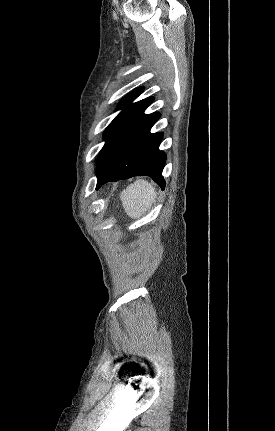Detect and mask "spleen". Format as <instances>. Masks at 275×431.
Wrapping results in <instances>:
<instances>
[{"mask_svg": "<svg viewBox=\"0 0 275 431\" xmlns=\"http://www.w3.org/2000/svg\"><path fill=\"white\" fill-rule=\"evenodd\" d=\"M156 196L155 188L150 183L137 180L121 192L120 199L127 215L139 218L150 209Z\"/></svg>", "mask_w": 275, "mask_h": 431, "instance_id": "1", "label": "spleen"}]
</instances>
